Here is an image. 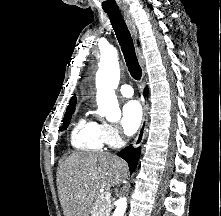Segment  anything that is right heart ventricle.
<instances>
[{
	"instance_id": "e07e8e85",
	"label": "right heart ventricle",
	"mask_w": 221,
	"mask_h": 216,
	"mask_svg": "<svg viewBox=\"0 0 221 216\" xmlns=\"http://www.w3.org/2000/svg\"><path fill=\"white\" fill-rule=\"evenodd\" d=\"M70 143L72 147L83 151L101 150L104 146L101 124L81 117L71 131Z\"/></svg>"
}]
</instances>
